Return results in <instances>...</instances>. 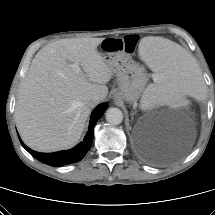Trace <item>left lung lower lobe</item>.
Instances as JSON below:
<instances>
[{"label":"left lung lower lobe","mask_w":215,"mask_h":215,"mask_svg":"<svg viewBox=\"0 0 215 215\" xmlns=\"http://www.w3.org/2000/svg\"><path fill=\"white\" fill-rule=\"evenodd\" d=\"M138 152L150 163H156L158 162L152 155L146 153L144 150H142L140 147L138 148Z\"/></svg>","instance_id":"left-lung-lower-lobe-1"}]
</instances>
